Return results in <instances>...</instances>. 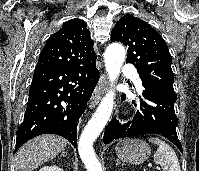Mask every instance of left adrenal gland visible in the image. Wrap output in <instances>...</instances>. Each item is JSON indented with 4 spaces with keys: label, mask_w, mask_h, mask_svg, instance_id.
Returning a JSON list of instances; mask_svg holds the SVG:
<instances>
[{
    "label": "left adrenal gland",
    "mask_w": 199,
    "mask_h": 171,
    "mask_svg": "<svg viewBox=\"0 0 199 171\" xmlns=\"http://www.w3.org/2000/svg\"><path fill=\"white\" fill-rule=\"evenodd\" d=\"M120 164L121 162L118 159H116V165H120Z\"/></svg>",
    "instance_id": "obj_1"
}]
</instances>
